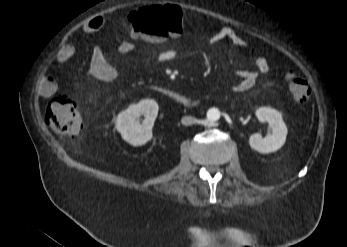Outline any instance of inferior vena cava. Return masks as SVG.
Here are the masks:
<instances>
[{
    "instance_id": "inferior-vena-cava-1",
    "label": "inferior vena cava",
    "mask_w": 347,
    "mask_h": 247,
    "mask_svg": "<svg viewBox=\"0 0 347 247\" xmlns=\"http://www.w3.org/2000/svg\"><path fill=\"white\" fill-rule=\"evenodd\" d=\"M181 123L184 125H192V124L196 123V119L194 117H191V116H184L181 119Z\"/></svg>"
}]
</instances>
